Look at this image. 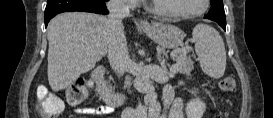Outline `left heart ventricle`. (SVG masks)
<instances>
[{
  "label": "left heart ventricle",
  "instance_id": "obj_1",
  "mask_svg": "<svg viewBox=\"0 0 273 118\" xmlns=\"http://www.w3.org/2000/svg\"><path fill=\"white\" fill-rule=\"evenodd\" d=\"M157 8L176 13H190L199 10L202 0H157Z\"/></svg>",
  "mask_w": 273,
  "mask_h": 118
}]
</instances>
